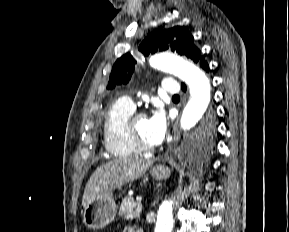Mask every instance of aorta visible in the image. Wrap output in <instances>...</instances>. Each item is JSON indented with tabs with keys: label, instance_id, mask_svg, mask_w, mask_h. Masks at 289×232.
Listing matches in <instances>:
<instances>
[{
	"label": "aorta",
	"instance_id": "762f6f07",
	"mask_svg": "<svg viewBox=\"0 0 289 232\" xmlns=\"http://www.w3.org/2000/svg\"><path fill=\"white\" fill-rule=\"evenodd\" d=\"M150 65L172 73L187 83L190 99L184 108L180 125L183 130L193 128L204 117L211 99V85L205 73L194 64L165 53L152 56ZM173 227V202L164 201L157 213L155 232H172Z\"/></svg>",
	"mask_w": 289,
	"mask_h": 232
}]
</instances>
